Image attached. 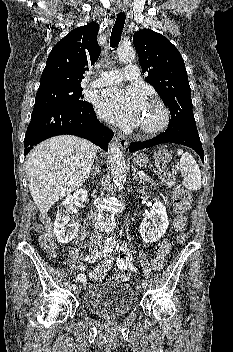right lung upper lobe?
<instances>
[{"label": "right lung upper lobe", "instance_id": "obj_1", "mask_svg": "<svg viewBox=\"0 0 233 352\" xmlns=\"http://www.w3.org/2000/svg\"><path fill=\"white\" fill-rule=\"evenodd\" d=\"M98 30L99 25L91 22L62 38L48 56L40 87L51 84L80 85L84 72L97 61L101 52L97 43Z\"/></svg>", "mask_w": 233, "mask_h": 352}]
</instances>
